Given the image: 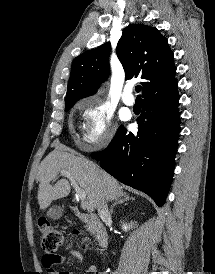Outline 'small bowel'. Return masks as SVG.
Returning <instances> with one entry per match:
<instances>
[{
	"mask_svg": "<svg viewBox=\"0 0 215 274\" xmlns=\"http://www.w3.org/2000/svg\"><path fill=\"white\" fill-rule=\"evenodd\" d=\"M70 257L83 262L85 260L84 255L81 251L78 249H70L69 250ZM67 261V258L58 254H48L46 253L42 257V266L49 274H74L70 271H57L55 269V266L57 264L65 263ZM87 274H105L103 272L98 271L95 264H91L86 269Z\"/></svg>",
	"mask_w": 215,
	"mask_h": 274,
	"instance_id": "obj_1",
	"label": "small bowel"
}]
</instances>
